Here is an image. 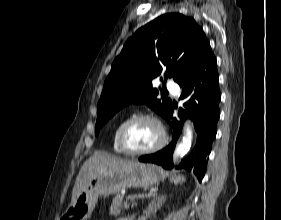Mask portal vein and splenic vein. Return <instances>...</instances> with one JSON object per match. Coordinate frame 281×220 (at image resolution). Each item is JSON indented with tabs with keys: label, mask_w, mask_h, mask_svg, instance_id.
Segmentation results:
<instances>
[{
	"label": "portal vein and splenic vein",
	"mask_w": 281,
	"mask_h": 220,
	"mask_svg": "<svg viewBox=\"0 0 281 220\" xmlns=\"http://www.w3.org/2000/svg\"><path fill=\"white\" fill-rule=\"evenodd\" d=\"M148 196H149V195H148ZM126 200H132V201H133V200H134V197L130 195V196L126 197Z\"/></svg>",
	"instance_id": "1"
}]
</instances>
